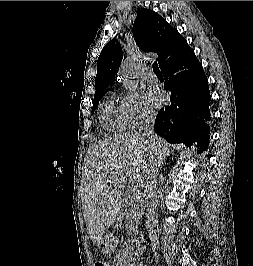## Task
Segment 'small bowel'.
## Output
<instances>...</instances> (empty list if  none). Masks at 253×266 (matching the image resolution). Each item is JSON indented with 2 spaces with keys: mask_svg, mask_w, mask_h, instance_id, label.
Segmentation results:
<instances>
[{
  "mask_svg": "<svg viewBox=\"0 0 253 266\" xmlns=\"http://www.w3.org/2000/svg\"><path fill=\"white\" fill-rule=\"evenodd\" d=\"M130 266H137V264L135 262H130ZM144 266H149V265H144Z\"/></svg>",
  "mask_w": 253,
  "mask_h": 266,
  "instance_id": "obj_1",
  "label": "small bowel"
}]
</instances>
